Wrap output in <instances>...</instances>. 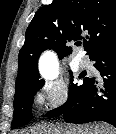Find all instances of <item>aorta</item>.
<instances>
[{"instance_id": "obj_1", "label": "aorta", "mask_w": 116, "mask_h": 134, "mask_svg": "<svg viewBox=\"0 0 116 134\" xmlns=\"http://www.w3.org/2000/svg\"><path fill=\"white\" fill-rule=\"evenodd\" d=\"M40 73L46 80H53L58 75V63L55 55L48 51L43 54L40 60Z\"/></svg>"}]
</instances>
